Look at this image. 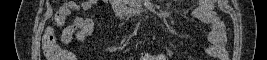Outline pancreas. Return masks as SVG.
Wrapping results in <instances>:
<instances>
[{
  "label": "pancreas",
  "mask_w": 267,
  "mask_h": 60,
  "mask_svg": "<svg viewBox=\"0 0 267 60\" xmlns=\"http://www.w3.org/2000/svg\"><path fill=\"white\" fill-rule=\"evenodd\" d=\"M125 2H126L127 5L135 8V4H134V1L133 0H126Z\"/></svg>",
  "instance_id": "pancreas-1"
}]
</instances>
